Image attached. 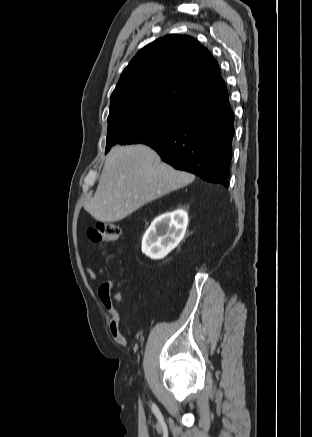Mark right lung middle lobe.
<instances>
[{
  "label": "right lung middle lobe",
  "instance_id": "dd1d6c3e",
  "mask_svg": "<svg viewBox=\"0 0 312 437\" xmlns=\"http://www.w3.org/2000/svg\"><path fill=\"white\" fill-rule=\"evenodd\" d=\"M193 111L162 102L125 105L110 112L106 152L116 143H143L175 131Z\"/></svg>",
  "mask_w": 312,
  "mask_h": 437
}]
</instances>
